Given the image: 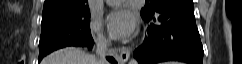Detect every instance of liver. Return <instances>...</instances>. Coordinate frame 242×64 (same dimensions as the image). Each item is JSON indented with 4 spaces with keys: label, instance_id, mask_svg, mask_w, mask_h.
I'll return each mask as SVG.
<instances>
[{
    "label": "liver",
    "instance_id": "1",
    "mask_svg": "<svg viewBox=\"0 0 242 64\" xmlns=\"http://www.w3.org/2000/svg\"><path fill=\"white\" fill-rule=\"evenodd\" d=\"M41 64H99V61L80 49L68 47L51 53Z\"/></svg>",
    "mask_w": 242,
    "mask_h": 64
}]
</instances>
